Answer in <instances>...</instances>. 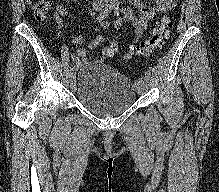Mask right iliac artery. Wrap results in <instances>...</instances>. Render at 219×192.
<instances>
[{"label": "right iliac artery", "mask_w": 219, "mask_h": 192, "mask_svg": "<svg viewBox=\"0 0 219 192\" xmlns=\"http://www.w3.org/2000/svg\"><path fill=\"white\" fill-rule=\"evenodd\" d=\"M114 8V5H108L99 15L98 17L96 18V21H99L101 22L103 19H105L113 10ZM75 66L74 64H71L70 66V70H74Z\"/></svg>", "instance_id": "obj_1"}]
</instances>
